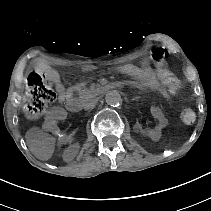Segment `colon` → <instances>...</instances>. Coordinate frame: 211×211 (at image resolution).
<instances>
[{
    "instance_id": "colon-1",
    "label": "colon",
    "mask_w": 211,
    "mask_h": 211,
    "mask_svg": "<svg viewBox=\"0 0 211 211\" xmlns=\"http://www.w3.org/2000/svg\"><path fill=\"white\" fill-rule=\"evenodd\" d=\"M159 78L166 84L175 88V80L172 74L165 68L157 70ZM56 99V94L49 81L37 72H32L28 78V88L25 96L23 112L29 120H35L41 117L49 105ZM180 117L186 124H192L196 115L190 108H184Z\"/></svg>"
}]
</instances>
